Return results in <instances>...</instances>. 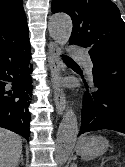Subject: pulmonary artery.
Returning <instances> with one entry per match:
<instances>
[{
    "label": "pulmonary artery",
    "mask_w": 125,
    "mask_h": 167,
    "mask_svg": "<svg viewBox=\"0 0 125 167\" xmlns=\"http://www.w3.org/2000/svg\"><path fill=\"white\" fill-rule=\"evenodd\" d=\"M71 56L82 60L85 64L86 70L89 74H91L92 68H93V64L92 61L90 60L89 56L87 55L86 52L82 51L81 49L78 48H73L70 51Z\"/></svg>",
    "instance_id": "1"
}]
</instances>
